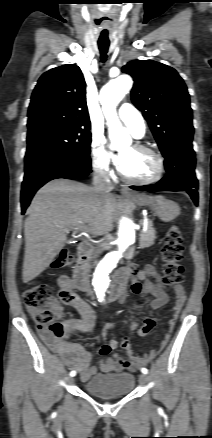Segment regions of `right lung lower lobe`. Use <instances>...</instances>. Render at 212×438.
Returning <instances> with one entry per match:
<instances>
[{
	"mask_svg": "<svg viewBox=\"0 0 212 438\" xmlns=\"http://www.w3.org/2000/svg\"><path fill=\"white\" fill-rule=\"evenodd\" d=\"M91 171V159L83 155L26 154L21 190L22 214L25 213L35 192L46 182L57 178H83Z\"/></svg>",
	"mask_w": 212,
	"mask_h": 438,
	"instance_id": "obj_1",
	"label": "right lung lower lobe"
}]
</instances>
